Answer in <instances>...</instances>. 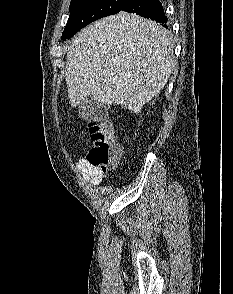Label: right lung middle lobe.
I'll use <instances>...</instances> for the list:
<instances>
[{
    "instance_id": "1",
    "label": "right lung middle lobe",
    "mask_w": 233,
    "mask_h": 294,
    "mask_svg": "<svg viewBox=\"0 0 233 294\" xmlns=\"http://www.w3.org/2000/svg\"><path fill=\"white\" fill-rule=\"evenodd\" d=\"M128 0H72L70 16L62 33L61 39L66 40L74 36L89 23L117 14Z\"/></svg>"
}]
</instances>
